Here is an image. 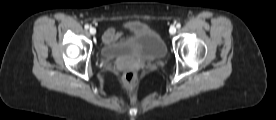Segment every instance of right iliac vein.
<instances>
[{"mask_svg":"<svg viewBox=\"0 0 276 120\" xmlns=\"http://www.w3.org/2000/svg\"><path fill=\"white\" fill-rule=\"evenodd\" d=\"M89 32L92 34V35H95L96 34V29L94 27H91L89 29Z\"/></svg>","mask_w":276,"mask_h":120,"instance_id":"obj_1","label":"right iliac vein"}]
</instances>
